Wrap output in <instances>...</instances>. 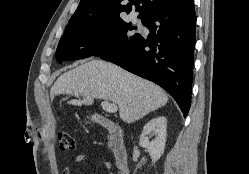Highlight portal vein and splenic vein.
Listing matches in <instances>:
<instances>
[{
	"label": "portal vein and splenic vein",
	"instance_id": "portal-vein-and-splenic-vein-1",
	"mask_svg": "<svg viewBox=\"0 0 249 174\" xmlns=\"http://www.w3.org/2000/svg\"><path fill=\"white\" fill-rule=\"evenodd\" d=\"M102 108L107 111L108 113H116L118 110V107L114 103H110L108 101H102L101 102Z\"/></svg>",
	"mask_w": 249,
	"mask_h": 174
}]
</instances>
